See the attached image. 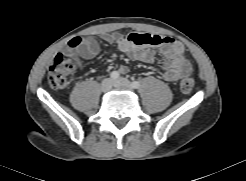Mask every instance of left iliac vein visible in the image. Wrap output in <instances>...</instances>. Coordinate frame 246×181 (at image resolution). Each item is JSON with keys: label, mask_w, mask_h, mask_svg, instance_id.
<instances>
[{"label": "left iliac vein", "mask_w": 246, "mask_h": 181, "mask_svg": "<svg viewBox=\"0 0 246 181\" xmlns=\"http://www.w3.org/2000/svg\"><path fill=\"white\" fill-rule=\"evenodd\" d=\"M114 87L116 88H124V89H131V83L126 78H119L113 82Z\"/></svg>", "instance_id": "4c4485c4"}]
</instances>
